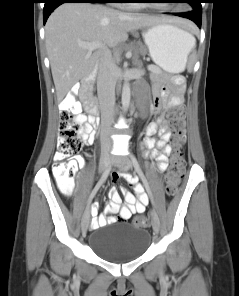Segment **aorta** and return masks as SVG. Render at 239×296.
I'll list each match as a JSON object with an SVG mask.
<instances>
[{"mask_svg": "<svg viewBox=\"0 0 239 296\" xmlns=\"http://www.w3.org/2000/svg\"><path fill=\"white\" fill-rule=\"evenodd\" d=\"M130 104V86L127 79L124 81L122 89V106L124 110H127Z\"/></svg>", "mask_w": 239, "mask_h": 296, "instance_id": "obj_1", "label": "aorta"}]
</instances>
